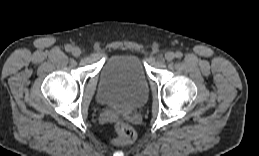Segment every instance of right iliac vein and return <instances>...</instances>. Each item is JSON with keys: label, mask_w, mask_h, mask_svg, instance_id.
I'll list each match as a JSON object with an SVG mask.
<instances>
[{"label": "right iliac vein", "mask_w": 259, "mask_h": 156, "mask_svg": "<svg viewBox=\"0 0 259 156\" xmlns=\"http://www.w3.org/2000/svg\"><path fill=\"white\" fill-rule=\"evenodd\" d=\"M71 52H72V55L75 56V57H78L81 54V50L78 47L72 48Z\"/></svg>", "instance_id": "obj_1"}]
</instances>
